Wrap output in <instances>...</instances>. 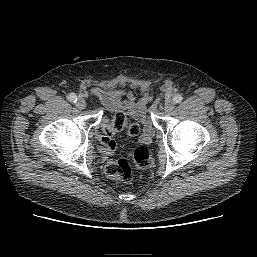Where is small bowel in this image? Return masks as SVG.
Listing matches in <instances>:
<instances>
[{"mask_svg": "<svg viewBox=\"0 0 257 257\" xmlns=\"http://www.w3.org/2000/svg\"><path fill=\"white\" fill-rule=\"evenodd\" d=\"M168 87L170 85L165 84V88ZM91 94L97 96L108 111H125L128 120H132L137 125L141 124L143 131L138 137L139 142L149 144L152 141L154 126L144 99L138 98L132 91L114 90L107 92L98 87L91 88ZM123 97H126L127 100H122Z\"/></svg>", "mask_w": 257, "mask_h": 257, "instance_id": "c3829d8e", "label": "small bowel"}]
</instances>
